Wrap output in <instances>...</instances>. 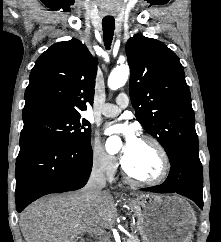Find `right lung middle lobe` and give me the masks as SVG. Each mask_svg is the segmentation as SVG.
<instances>
[{
  "instance_id": "1",
  "label": "right lung middle lobe",
  "mask_w": 221,
  "mask_h": 242,
  "mask_svg": "<svg viewBox=\"0 0 221 242\" xmlns=\"http://www.w3.org/2000/svg\"><path fill=\"white\" fill-rule=\"evenodd\" d=\"M89 125L81 115L50 118L24 125L21 136L49 135L68 143L84 145L91 141V130L86 128Z\"/></svg>"
}]
</instances>
